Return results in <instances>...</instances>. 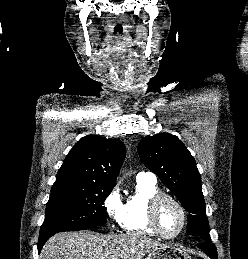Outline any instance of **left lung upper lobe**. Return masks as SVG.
I'll return each instance as SVG.
<instances>
[{"mask_svg":"<svg viewBox=\"0 0 248 259\" xmlns=\"http://www.w3.org/2000/svg\"><path fill=\"white\" fill-rule=\"evenodd\" d=\"M138 153L144 165L173 192L189 213L187 233L209 239V226L194 158L174 135L161 133L143 138Z\"/></svg>","mask_w":248,"mask_h":259,"instance_id":"5c2ea615","label":"left lung upper lobe"}]
</instances>
